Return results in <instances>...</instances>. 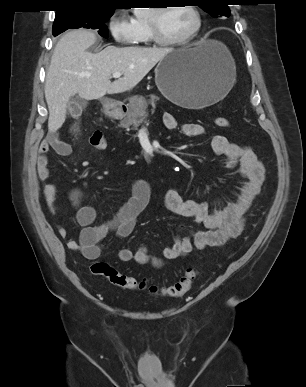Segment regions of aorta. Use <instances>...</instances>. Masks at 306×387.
Here are the masks:
<instances>
[{
	"instance_id": "762f6f07",
	"label": "aorta",
	"mask_w": 306,
	"mask_h": 387,
	"mask_svg": "<svg viewBox=\"0 0 306 387\" xmlns=\"http://www.w3.org/2000/svg\"><path fill=\"white\" fill-rule=\"evenodd\" d=\"M141 9H143V8H135L134 13L136 15H139L141 13Z\"/></svg>"
}]
</instances>
